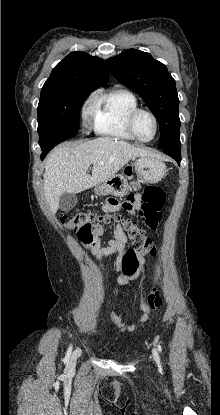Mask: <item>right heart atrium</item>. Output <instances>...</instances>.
Returning a JSON list of instances; mask_svg holds the SVG:
<instances>
[{
  "mask_svg": "<svg viewBox=\"0 0 220 415\" xmlns=\"http://www.w3.org/2000/svg\"><path fill=\"white\" fill-rule=\"evenodd\" d=\"M92 107H93V103H92V106H88L87 108H85V110H84V112H83V116H84V118L86 119V120H88L89 119V117L91 116V114H92Z\"/></svg>",
  "mask_w": 220,
  "mask_h": 415,
  "instance_id": "obj_1",
  "label": "right heart atrium"
}]
</instances>
